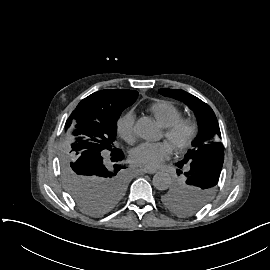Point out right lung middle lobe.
<instances>
[{
  "mask_svg": "<svg viewBox=\"0 0 270 270\" xmlns=\"http://www.w3.org/2000/svg\"><path fill=\"white\" fill-rule=\"evenodd\" d=\"M138 93L114 104L102 103L95 93L83 99L65 124V141L59 146L60 178L75 205L89 215H102L124 198L127 176L118 166L124 155L114 147L116 122ZM111 161L106 167L101 152ZM121 170V171H120Z\"/></svg>",
  "mask_w": 270,
  "mask_h": 270,
  "instance_id": "obj_1",
  "label": "right lung middle lobe"
}]
</instances>
